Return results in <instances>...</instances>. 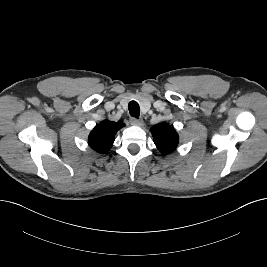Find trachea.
Returning a JSON list of instances; mask_svg holds the SVG:
<instances>
[{"label": "trachea", "instance_id": "trachea-1", "mask_svg": "<svg viewBox=\"0 0 267 267\" xmlns=\"http://www.w3.org/2000/svg\"><path fill=\"white\" fill-rule=\"evenodd\" d=\"M129 113L132 117L139 118L140 115V107L136 101H131L128 104Z\"/></svg>", "mask_w": 267, "mask_h": 267}]
</instances>
